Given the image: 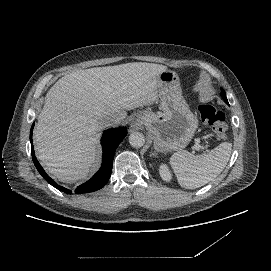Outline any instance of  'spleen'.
Returning a JSON list of instances; mask_svg holds the SVG:
<instances>
[{"instance_id":"obj_1","label":"spleen","mask_w":271,"mask_h":271,"mask_svg":"<svg viewBox=\"0 0 271 271\" xmlns=\"http://www.w3.org/2000/svg\"><path fill=\"white\" fill-rule=\"evenodd\" d=\"M232 144L221 143L207 154L193 155L186 150L174 153L170 165L181 187L195 189L219 175L231 155Z\"/></svg>"}]
</instances>
